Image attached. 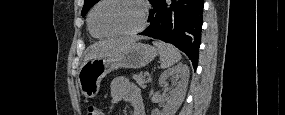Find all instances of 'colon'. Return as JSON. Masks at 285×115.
Here are the masks:
<instances>
[{
	"label": "colon",
	"instance_id": "obj_1",
	"mask_svg": "<svg viewBox=\"0 0 285 115\" xmlns=\"http://www.w3.org/2000/svg\"><path fill=\"white\" fill-rule=\"evenodd\" d=\"M87 115H103L102 109L97 106L89 105L86 109Z\"/></svg>",
	"mask_w": 285,
	"mask_h": 115
}]
</instances>
